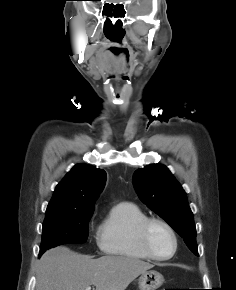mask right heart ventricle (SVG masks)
I'll return each instance as SVG.
<instances>
[{
    "instance_id": "right-heart-ventricle-1",
    "label": "right heart ventricle",
    "mask_w": 236,
    "mask_h": 290,
    "mask_svg": "<svg viewBox=\"0 0 236 290\" xmlns=\"http://www.w3.org/2000/svg\"><path fill=\"white\" fill-rule=\"evenodd\" d=\"M148 218L135 203L120 202L114 205L101 223L97 233L100 250L107 255L134 260H150L143 251L138 229Z\"/></svg>"
}]
</instances>
